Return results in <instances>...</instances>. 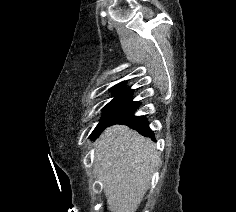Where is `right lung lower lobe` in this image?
<instances>
[{
    "label": "right lung lower lobe",
    "mask_w": 236,
    "mask_h": 212,
    "mask_svg": "<svg viewBox=\"0 0 236 212\" xmlns=\"http://www.w3.org/2000/svg\"><path fill=\"white\" fill-rule=\"evenodd\" d=\"M139 106L140 102L132 101V91H130L128 98L117 109L113 117L107 122L104 128L116 123L127 124L132 129L137 130L143 136H149L154 139V133L149 128L147 119L144 116L134 115V112Z\"/></svg>",
    "instance_id": "98d812e1"
}]
</instances>
